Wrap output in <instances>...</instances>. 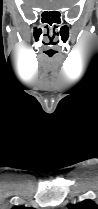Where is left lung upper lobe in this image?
<instances>
[{
  "label": "left lung upper lobe",
  "instance_id": "obj_1",
  "mask_svg": "<svg viewBox=\"0 0 98 209\" xmlns=\"http://www.w3.org/2000/svg\"><path fill=\"white\" fill-rule=\"evenodd\" d=\"M68 209H98L97 205L91 200H84L75 205L69 204Z\"/></svg>",
  "mask_w": 98,
  "mask_h": 209
}]
</instances>
